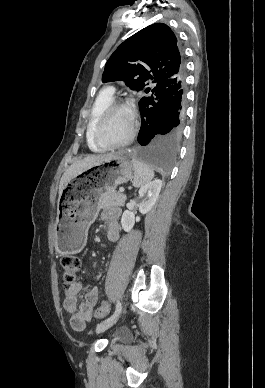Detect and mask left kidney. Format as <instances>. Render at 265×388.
Returning <instances> with one entry per match:
<instances>
[{"mask_svg": "<svg viewBox=\"0 0 265 388\" xmlns=\"http://www.w3.org/2000/svg\"><path fill=\"white\" fill-rule=\"evenodd\" d=\"M162 188L161 180H154V182H149L140 188L138 208L140 214H148L151 208H153ZM135 222H140V218H135V214L130 212V210H125L121 218V224L125 232H130L132 230Z\"/></svg>", "mask_w": 265, "mask_h": 388, "instance_id": "left-kidney-1", "label": "left kidney"}]
</instances>
